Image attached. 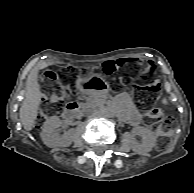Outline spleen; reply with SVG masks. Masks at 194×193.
Listing matches in <instances>:
<instances>
[{"label":"spleen","instance_id":"obj_1","mask_svg":"<svg viewBox=\"0 0 194 193\" xmlns=\"http://www.w3.org/2000/svg\"><path fill=\"white\" fill-rule=\"evenodd\" d=\"M162 103H163L164 105H167V104H168L167 99H166V98H164V99L162 100Z\"/></svg>","mask_w":194,"mask_h":193}]
</instances>
